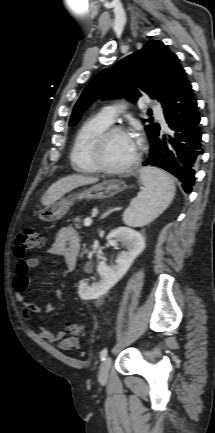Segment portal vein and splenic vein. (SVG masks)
<instances>
[{"instance_id":"1","label":"portal vein and splenic vein","mask_w":215,"mask_h":433,"mask_svg":"<svg viewBox=\"0 0 215 433\" xmlns=\"http://www.w3.org/2000/svg\"><path fill=\"white\" fill-rule=\"evenodd\" d=\"M91 224H92V219L90 217H88L84 220V225L86 227L90 226Z\"/></svg>"}]
</instances>
